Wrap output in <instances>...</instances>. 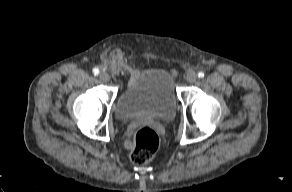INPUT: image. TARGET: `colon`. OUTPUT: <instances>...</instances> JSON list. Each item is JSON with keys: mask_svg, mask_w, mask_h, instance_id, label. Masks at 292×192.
I'll return each mask as SVG.
<instances>
[{"mask_svg": "<svg viewBox=\"0 0 292 192\" xmlns=\"http://www.w3.org/2000/svg\"><path fill=\"white\" fill-rule=\"evenodd\" d=\"M133 140L134 146L130 159L136 165L150 162L160 147V138L155 129L149 125L137 128Z\"/></svg>", "mask_w": 292, "mask_h": 192, "instance_id": "1", "label": "colon"}]
</instances>
